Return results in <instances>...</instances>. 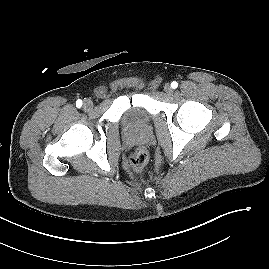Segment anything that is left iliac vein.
Instances as JSON below:
<instances>
[{
    "label": "left iliac vein",
    "mask_w": 269,
    "mask_h": 269,
    "mask_svg": "<svg viewBox=\"0 0 269 269\" xmlns=\"http://www.w3.org/2000/svg\"><path fill=\"white\" fill-rule=\"evenodd\" d=\"M164 91L167 95H171L173 93L172 87L169 83L164 85Z\"/></svg>",
    "instance_id": "1"
}]
</instances>
